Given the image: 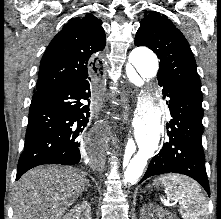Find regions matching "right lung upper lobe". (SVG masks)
Segmentation results:
<instances>
[{"instance_id":"cb5924a9","label":"right lung upper lobe","mask_w":221,"mask_h":219,"mask_svg":"<svg viewBox=\"0 0 221 219\" xmlns=\"http://www.w3.org/2000/svg\"><path fill=\"white\" fill-rule=\"evenodd\" d=\"M101 23L86 14L63 27L42 57L37 91L88 79L101 69V61L95 58L106 43Z\"/></svg>"}]
</instances>
